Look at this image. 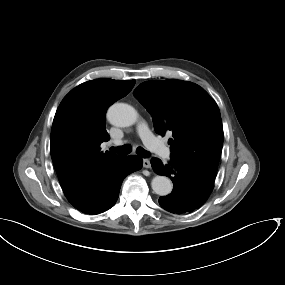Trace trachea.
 Here are the masks:
<instances>
[{"instance_id": "trachea-1", "label": "trachea", "mask_w": 285, "mask_h": 285, "mask_svg": "<svg viewBox=\"0 0 285 285\" xmlns=\"http://www.w3.org/2000/svg\"><path fill=\"white\" fill-rule=\"evenodd\" d=\"M115 151L119 154V155H128L131 152V147L129 145H123V146H118L115 148ZM136 153L142 157V158H147L150 154L148 151H146L144 148L142 147H138L136 149Z\"/></svg>"}]
</instances>
